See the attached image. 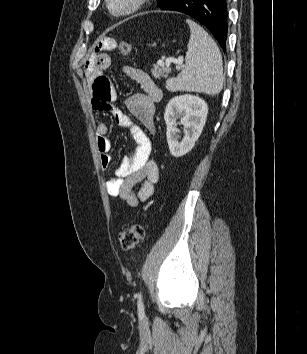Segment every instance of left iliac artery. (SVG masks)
Here are the masks:
<instances>
[{
	"instance_id": "1",
	"label": "left iliac artery",
	"mask_w": 307,
	"mask_h": 354,
	"mask_svg": "<svg viewBox=\"0 0 307 354\" xmlns=\"http://www.w3.org/2000/svg\"><path fill=\"white\" fill-rule=\"evenodd\" d=\"M137 297H138V309H139L140 312H143L144 311V305H143L141 293H138Z\"/></svg>"
}]
</instances>
